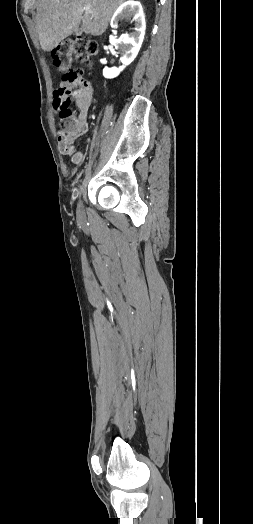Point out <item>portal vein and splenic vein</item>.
<instances>
[{
	"mask_svg": "<svg viewBox=\"0 0 253 524\" xmlns=\"http://www.w3.org/2000/svg\"><path fill=\"white\" fill-rule=\"evenodd\" d=\"M84 10H85V13L87 14H92V15H96V12H94L91 8V6L87 5L84 7Z\"/></svg>",
	"mask_w": 253,
	"mask_h": 524,
	"instance_id": "obj_1",
	"label": "portal vein and splenic vein"
}]
</instances>
